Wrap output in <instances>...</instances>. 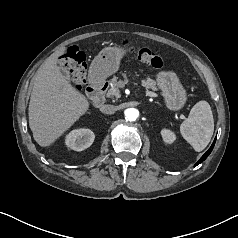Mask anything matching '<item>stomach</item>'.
Segmentation results:
<instances>
[{
	"label": "stomach",
	"mask_w": 238,
	"mask_h": 238,
	"mask_svg": "<svg viewBox=\"0 0 238 238\" xmlns=\"http://www.w3.org/2000/svg\"><path fill=\"white\" fill-rule=\"evenodd\" d=\"M126 51L118 47H106L94 58L89 69L91 82H98L116 73L121 58ZM156 83L161 90L166 106L170 110L182 109L187 100V93L176 73L161 71L156 75Z\"/></svg>",
	"instance_id": "1"
}]
</instances>
